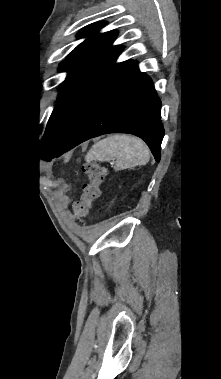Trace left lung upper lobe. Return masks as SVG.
<instances>
[{"mask_svg": "<svg viewBox=\"0 0 221 379\" xmlns=\"http://www.w3.org/2000/svg\"><path fill=\"white\" fill-rule=\"evenodd\" d=\"M104 25L98 22L83 28L78 37H89L60 64L59 70L68 74L40 144L44 160L62 145L84 114L133 62L115 63L123 48L112 46L117 31L98 33Z\"/></svg>", "mask_w": 221, "mask_h": 379, "instance_id": "left-lung-upper-lobe-1", "label": "left lung upper lobe"}]
</instances>
